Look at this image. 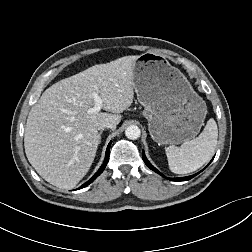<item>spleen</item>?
<instances>
[{"label": "spleen", "instance_id": "obj_1", "mask_svg": "<svg viewBox=\"0 0 252 252\" xmlns=\"http://www.w3.org/2000/svg\"><path fill=\"white\" fill-rule=\"evenodd\" d=\"M218 138V128L213 118L206 123L201 134L180 147L165 149L170 170L176 174H187L202 167L214 154Z\"/></svg>", "mask_w": 252, "mask_h": 252}]
</instances>
